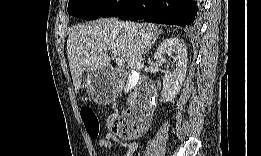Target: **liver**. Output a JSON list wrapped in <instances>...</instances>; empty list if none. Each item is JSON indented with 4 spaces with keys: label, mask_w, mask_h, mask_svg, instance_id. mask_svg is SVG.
I'll return each mask as SVG.
<instances>
[{
    "label": "liver",
    "mask_w": 261,
    "mask_h": 156,
    "mask_svg": "<svg viewBox=\"0 0 261 156\" xmlns=\"http://www.w3.org/2000/svg\"><path fill=\"white\" fill-rule=\"evenodd\" d=\"M161 32L153 24L118 22L99 19L76 25L67 40V54L74 87H81L85 71L106 69L110 50L115 57L125 60L128 67L140 71L143 55Z\"/></svg>",
    "instance_id": "obj_1"
}]
</instances>
